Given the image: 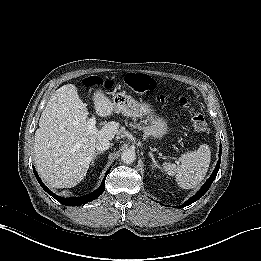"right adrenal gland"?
<instances>
[{"label": "right adrenal gland", "mask_w": 261, "mask_h": 261, "mask_svg": "<svg viewBox=\"0 0 261 261\" xmlns=\"http://www.w3.org/2000/svg\"><path fill=\"white\" fill-rule=\"evenodd\" d=\"M102 153H103L102 151L95 153L94 158H93V161L97 158L98 155H100V154H102Z\"/></svg>", "instance_id": "right-adrenal-gland-1"}]
</instances>
